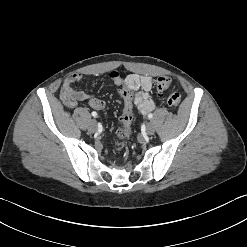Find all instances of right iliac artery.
<instances>
[{
  "mask_svg": "<svg viewBox=\"0 0 247 247\" xmlns=\"http://www.w3.org/2000/svg\"><path fill=\"white\" fill-rule=\"evenodd\" d=\"M91 114L93 117H97V113L95 111H93Z\"/></svg>",
  "mask_w": 247,
  "mask_h": 247,
  "instance_id": "82829eb1",
  "label": "right iliac artery"
}]
</instances>
